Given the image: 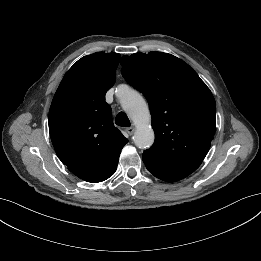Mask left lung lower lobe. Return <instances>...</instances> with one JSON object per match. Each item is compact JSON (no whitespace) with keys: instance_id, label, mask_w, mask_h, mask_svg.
Returning a JSON list of instances; mask_svg holds the SVG:
<instances>
[{"instance_id":"obj_1","label":"left lung lower lobe","mask_w":261,"mask_h":261,"mask_svg":"<svg viewBox=\"0 0 261 261\" xmlns=\"http://www.w3.org/2000/svg\"><path fill=\"white\" fill-rule=\"evenodd\" d=\"M143 162L148 171H150L155 177L166 182L181 180L195 171V169L191 168H180L163 164L146 154H143Z\"/></svg>"}]
</instances>
